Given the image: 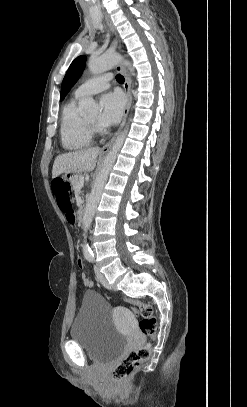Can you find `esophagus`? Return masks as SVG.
Listing matches in <instances>:
<instances>
[{"mask_svg": "<svg viewBox=\"0 0 247 407\" xmlns=\"http://www.w3.org/2000/svg\"><path fill=\"white\" fill-rule=\"evenodd\" d=\"M106 21H107V24H108V26H109V28H110L112 34H113V35H116L115 26L113 25V23H112V21L110 20V18L107 17V16H106ZM118 49L120 50V47H118ZM116 70H117L118 72H120V73L124 76V79H125V82H124V90H125V93H126V96H127V103H126V106H125V108H124L123 120H122V123H121L119 129L117 130V132L115 133V135L111 138V140H110L109 142H107V143L102 147V151H107V150H109V149L111 148L112 144L114 143V140H115L116 136L119 134V132L121 131V129L123 128V126H124V124H125V121H126V118H127L128 112H129V109H130V105H131L130 80H129L128 74H127L125 68L123 67V65H122L121 63H119V64L116 65Z\"/></svg>", "mask_w": 247, "mask_h": 407, "instance_id": "1", "label": "esophagus"}]
</instances>
